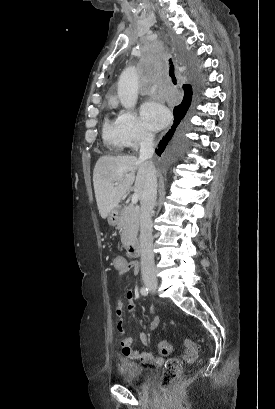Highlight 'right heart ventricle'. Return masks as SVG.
Returning <instances> with one entry per match:
<instances>
[{"mask_svg": "<svg viewBox=\"0 0 275 409\" xmlns=\"http://www.w3.org/2000/svg\"><path fill=\"white\" fill-rule=\"evenodd\" d=\"M103 139L111 153L121 154L124 151L125 142L117 120L110 121L108 118L105 120Z\"/></svg>", "mask_w": 275, "mask_h": 409, "instance_id": "right-heart-ventricle-1", "label": "right heart ventricle"}]
</instances>
